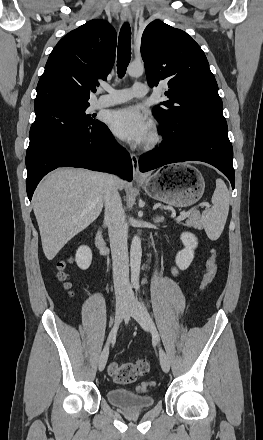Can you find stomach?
Segmentation results:
<instances>
[{"mask_svg": "<svg viewBox=\"0 0 263 440\" xmlns=\"http://www.w3.org/2000/svg\"><path fill=\"white\" fill-rule=\"evenodd\" d=\"M145 192L155 200L175 207H187L203 195L205 182L202 174L192 166H171L141 181Z\"/></svg>", "mask_w": 263, "mask_h": 440, "instance_id": "1", "label": "stomach"}]
</instances>
